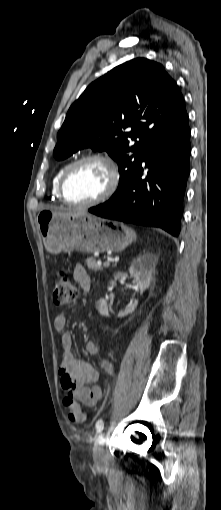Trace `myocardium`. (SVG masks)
<instances>
[{
    "label": "myocardium",
    "instance_id": "f54148a6",
    "mask_svg": "<svg viewBox=\"0 0 221 510\" xmlns=\"http://www.w3.org/2000/svg\"><path fill=\"white\" fill-rule=\"evenodd\" d=\"M89 161L100 162L108 169L109 183H108L106 189L103 191V193L101 195H99L98 197H96L95 199L88 201V202H83V203L72 202L67 198L66 193H65V184H66L67 178L74 168H76L78 165H80L82 163L89 162ZM119 182H120V172H119V168H118L117 164L115 163V161L109 155H106L103 153H90V154H86V155L79 157L78 159L74 160L73 162H71L70 164L67 165V167L64 169V171L60 177V181H59V185H58V193H59L60 199L66 205H68L70 207L90 208V207L96 206L100 203H103L104 201H106L107 199L112 197V195L116 192V190L119 186Z\"/></svg>",
    "mask_w": 221,
    "mask_h": 510
}]
</instances>
